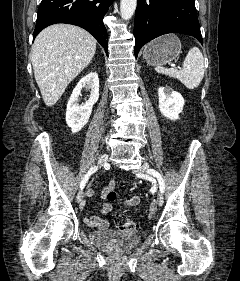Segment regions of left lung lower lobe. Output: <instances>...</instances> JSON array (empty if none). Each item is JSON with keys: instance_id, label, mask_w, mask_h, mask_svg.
Instances as JSON below:
<instances>
[{"instance_id": "left-lung-lower-lobe-1", "label": "left lung lower lobe", "mask_w": 240, "mask_h": 281, "mask_svg": "<svg viewBox=\"0 0 240 281\" xmlns=\"http://www.w3.org/2000/svg\"><path fill=\"white\" fill-rule=\"evenodd\" d=\"M167 33L191 35L202 42L194 0H138L134 21L135 57L144 44Z\"/></svg>"}]
</instances>
